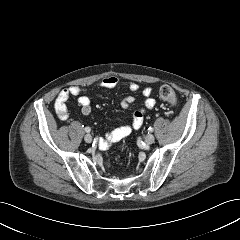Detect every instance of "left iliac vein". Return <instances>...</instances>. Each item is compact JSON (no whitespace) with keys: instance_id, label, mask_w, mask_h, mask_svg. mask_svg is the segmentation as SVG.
<instances>
[{"instance_id":"4c4485c4","label":"left iliac vein","mask_w":240,"mask_h":240,"mask_svg":"<svg viewBox=\"0 0 240 240\" xmlns=\"http://www.w3.org/2000/svg\"><path fill=\"white\" fill-rule=\"evenodd\" d=\"M144 141L147 145H151L155 141V137L152 134L145 136Z\"/></svg>"}]
</instances>
